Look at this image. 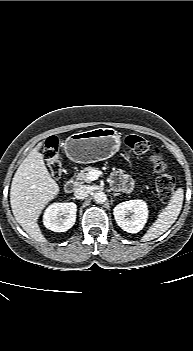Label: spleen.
<instances>
[{"label": "spleen", "instance_id": "spleen-1", "mask_svg": "<svg viewBox=\"0 0 193 351\" xmlns=\"http://www.w3.org/2000/svg\"><path fill=\"white\" fill-rule=\"evenodd\" d=\"M184 199V191L178 188L172 195L169 204L158 215L157 220L142 236L141 241H151L166 232L180 214Z\"/></svg>", "mask_w": 193, "mask_h": 351}]
</instances>
